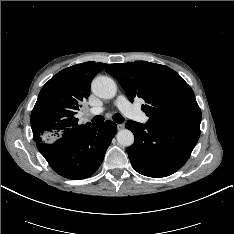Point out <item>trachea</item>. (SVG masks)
<instances>
[{
  "label": "trachea",
  "instance_id": "1",
  "mask_svg": "<svg viewBox=\"0 0 234 234\" xmlns=\"http://www.w3.org/2000/svg\"><path fill=\"white\" fill-rule=\"evenodd\" d=\"M112 118L116 123H123L125 120L124 117L119 113L114 114ZM103 121H104V117L101 115H98L92 118L93 123H102Z\"/></svg>",
  "mask_w": 234,
  "mask_h": 234
}]
</instances>
